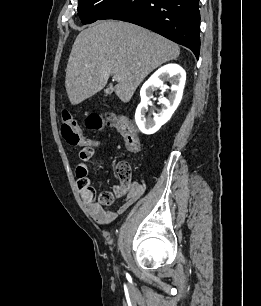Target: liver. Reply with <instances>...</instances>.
Masks as SVG:
<instances>
[{"mask_svg": "<svg viewBox=\"0 0 261 306\" xmlns=\"http://www.w3.org/2000/svg\"><path fill=\"white\" fill-rule=\"evenodd\" d=\"M180 54L172 41L123 21H102L81 31L68 59L65 88L72 105L101 91L110 75H120L114 90L129 102L140 83L157 67Z\"/></svg>", "mask_w": 261, "mask_h": 306, "instance_id": "liver-1", "label": "liver"}]
</instances>
